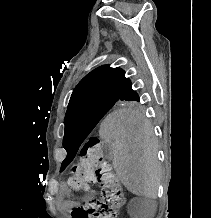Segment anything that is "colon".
<instances>
[{"label": "colon", "mask_w": 211, "mask_h": 218, "mask_svg": "<svg viewBox=\"0 0 211 218\" xmlns=\"http://www.w3.org/2000/svg\"><path fill=\"white\" fill-rule=\"evenodd\" d=\"M92 183L101 187L97 198L73 208V218H117L125 203L121 183L112 164L105 158L98 137L87 138L77 163L71 168L67 184L74 191L88 190Z\"/></svg>", "instance_id": "obj_1"}]
</instances>
